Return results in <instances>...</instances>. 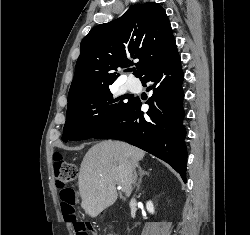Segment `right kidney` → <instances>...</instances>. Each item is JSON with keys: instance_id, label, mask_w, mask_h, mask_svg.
Returning <instances> with one entry per match:
<instances>
[{"instance_id": "1", "label": "right kidney", "mask_w": 250, "mask_h": 235, "mask_svg": "<svg viewBox=\"0 0 250 235\" xmlns=\"http://www.w3.org/2000/svg\"><path fill=\"white\" fill-rule=\"evenodd\" d=\"M146 209L150 214H154L155 210H154V205L151 201H148L146 203Z\"/></svg>"}]
</instances>
